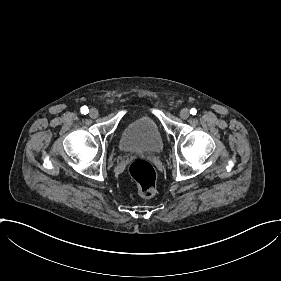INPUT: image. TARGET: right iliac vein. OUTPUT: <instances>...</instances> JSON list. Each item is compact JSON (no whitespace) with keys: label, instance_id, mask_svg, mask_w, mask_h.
I'll return each mask as SVG.
<instances>
[{"label":"right iliac vein","instance_id":"right-iliac-vein-1","mask_svg":"<svg viewBox=\"0 0 281 281\" xmlns=\"http://www.w3.org/2000/svg\"><path fill=\"white\" fill-rule=\"evenodd\" d=\"M99 115V110L97 109V108H92L91 110H90V116L92 117V118H95V117H97Z\"/></svg>","mask_w":281,"mask_h":281}]
</instances>
